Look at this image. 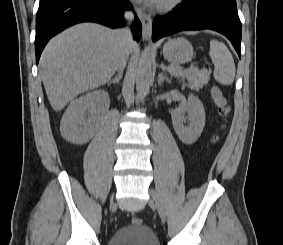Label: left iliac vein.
Segmentation results:
<instances>
[{
    "label": "left iliac vein",
    "instance_id": "left-iliac-vein-1",
    "mask_svg": "<svg viewBox=\"0 0 283 245\" xmlns=\"http://www.w3.org/2000/svg\"><path fill=\"white\" fill-rule=\"evenodd\" d=\"M149 194H150V203L157 210L159 218L161 219V221L164 222L165 218H166L165 210H164L163 204H162V202L160 200V197H159L158 193L153 188H150L149 189Z\"/></svg>",
    "mask_w": 283,
    "mask_h": 245
}]
</instances>
